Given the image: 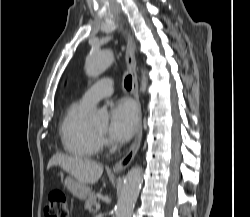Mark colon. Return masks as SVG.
Listing matches in <instances>:
<instances>
[{
  "instance_id": "5ec220e1",
  "label": "colon",
  "mask_w": 250,
  "mask_h": 217,
  "mask_svg": "<svg viewBox=\"0 0 250 217\" xmlns=\"http://www.w3.org/2000/svg\"><path fill=\"white\" fill-rule=\"evenodd\" d=\"M44 217H69V205L63 191L53 190L49 193Z\"/></svg>"
}]
</instances>
